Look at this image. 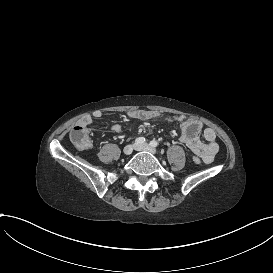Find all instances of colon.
I'll use <instances>...</instances> for the list:
<instances>
[{
  "label": "colon",
  "mask_w": 273,
  "mask_h": 273,
  "mask_svg": "<svg viewBox=\"0 0 273 273\" xmlns=\"http://www.w3.org/2000/svg\"><path fill=\"white\" fill-rule=\"evenodd\" d=\"M91 127V120L88 118H82L79 120L75 129L70 131L69 138L73 142V146L76 150L83 151L94 147V138L91 136H86Z\"/></svg>",
  "instance_id": "1"
}]
</instances>
